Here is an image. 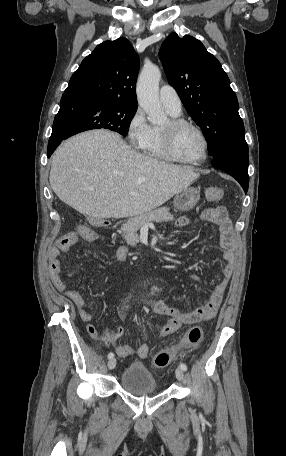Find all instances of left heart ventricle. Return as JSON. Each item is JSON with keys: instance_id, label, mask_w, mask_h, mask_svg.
<instances>
[{"instance_id": "left-heart-ventricle-1", "label": "left heart ventricle", "mask_w": 286, "mask_h": 456, "mask_svg": "<svg viewBox=\"0 0 286 456\" xmlns=\"http://www.w3.org/2000/svg\"><path fill=\"white\" fill-rule=\"evenodd\" d=\"M169 127L167 122L162 129ZM174 151L186 160H196L202 157L204 144L201 136L192 128H182L174 134Z\"/></svg>"}]
</instances>
